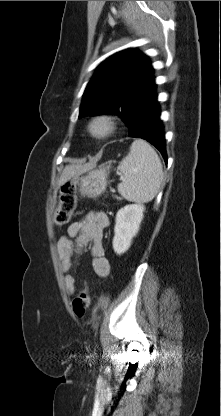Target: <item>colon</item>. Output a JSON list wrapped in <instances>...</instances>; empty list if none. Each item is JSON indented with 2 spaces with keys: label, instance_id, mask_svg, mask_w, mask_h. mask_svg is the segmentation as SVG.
I'll return each instance as SVG.
<instances>
[{
  "label": "colon",
  "instance_id": "5ec220e1",
  "mask_svg": "<svg viewBox=\"0 0 221 416\" xmlns=\"http://www.w3.org/2000/svg\"><path fill=\"white\" fill-rule=\"evenodd\" d=\"M76 207V183L66 182L61 190L60 204L54 214L55 225L62 226L70 222ZM90 304V297L87 288H82L79 294L73 299L72 308L79 318L85 316Z\"/></svg>",
  "mask_w": 221,
  "mask_h": 416
}]
</instances>
